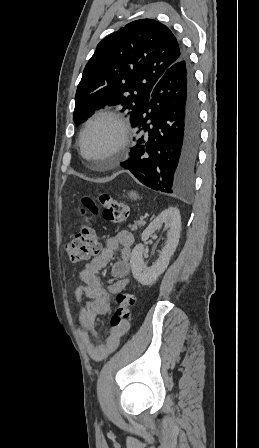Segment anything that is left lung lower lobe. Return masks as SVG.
Masks as SVG:
<instances>
[{"label": "left lung lower lobe", "mask_w": 259, "mask_h": 448, "mask_svg": "<svg viewBox=\"0 0 259 448\" xmlns=\"http://www.w3.org/2000/svg\"><path fill=\"white\" fill-rule=\"evenodd\" d=\"M140 133L130 158L120 163L141 183L175 193L192 185L200 138L194 73L188 56L158 80L148 104L130 115Z\"/></svg>", "instance_id": "left-lung-lower-lobe-1"}]
</instances>
